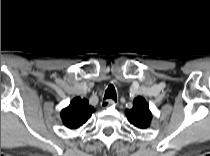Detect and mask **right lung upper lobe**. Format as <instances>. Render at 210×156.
<instances>
[{
    "label": "right lung upper lobe",
    "mask_w": 210,
    "mask_h": 156,
    "mask_svg": "<svg viewBox=\"0 0 210 156\" xmlns=\"http://www.w3.org/2000/svg\"><path fill=\"white\" fill-rule=\"evenodd\" d=\"M94 111L88 100L77 97L72 100L68 107L62 110L61 118L66 127L76 129L86 123Z\"/></svg>",
    "instance_id": "1"
}]
</instances>
